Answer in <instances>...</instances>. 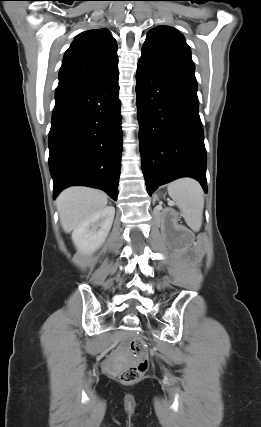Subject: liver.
Returning a JSON list of instances; mask_svg holds the SVG:
<instances>
[{"mask_svg": "<svg viewBox=\"0 0 261 427\" xmlns=\"http://www.w3.org/2000/svg\"><path fill=\"white\" fill-rule=\"evenodd\" d=\"M60 223L66 233L106 207L107 195L93 188L70 187L60 193L57 200Z\"/></svg>", "mask_w": 261, "mask_h": 427, "instance_id": "1", "label": "liver"}]
</instances>
